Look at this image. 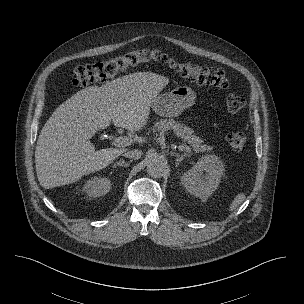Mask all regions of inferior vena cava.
Masks as SVG:
<instances>
[{"mask_svg":"<svg viewBox=\"0 0 304 304\" xmlns=\"http://www.w3.org/2000/svg\"><path fill=\"white\" fill-rule=\"evenodd\" d=\"M141 155H142V151L137 149L127 151L123 154L124 157L131 159H140Z\"/></svg>","mask_w":304,"mask_h":304,"instance_id":"1","label":"inferior vena cava"}]
</instances>
